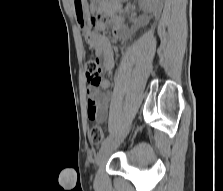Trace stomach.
<instances>
[{"instance_id":"obj_1","label":"stomach","mask_w":223,"mask_h":191,"mask_svg":"<svg viewBox=\"0 0 223 191\" xmlns=\"http://www.w3.org/2000/svg\"><path fill=\"white\" fill-rule=\"evenodd\" d=\"M72 7L78 26L83 31H89L91 23L88 0H72Z\"/></svg>"}]
</instances>
